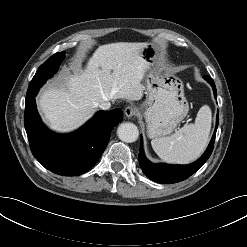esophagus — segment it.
Returning a JSON list of instances; mask_svg holds the SVG:
<instances>
[{
  "label": "esophagus",
  "instance_id": "34e87169",
  "mask_svg": "<svg viewBox=\"0 0 247 247\" xmlns=\"http://www.w3.org/2000/svg\"><path fill=\"white\" fill-rule=\"evenodd\" d=\"M124 112L126 117L131 118L138 114V108L134 105H130L125 108Z\"/></svg>",
  "mask_w": 247,
  "mask_h": 247
}]
</instances>
